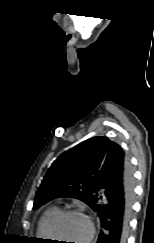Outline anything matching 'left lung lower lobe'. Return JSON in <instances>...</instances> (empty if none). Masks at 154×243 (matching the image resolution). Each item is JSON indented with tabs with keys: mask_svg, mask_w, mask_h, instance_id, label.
I'll use <instances>...</instances> for the list:
<instances>
[{
	"mask_svg": "<svg viewBox=\"0 0 154 243\" xmlns=\"http://www.w3.org/2000/svg\"><path fill=\"white\" fill-rule=\"evenodd\" d=\"M133 173L121 147L111 148L98 174L93 210L101 221L97 243H126L133 202Z\"/></svg>",
	"mask_w": 154,
	"mask_h": 243,
	"instance_id": "0a47b994",
	"label": "left lung lower lobe"
}]
</instances>
